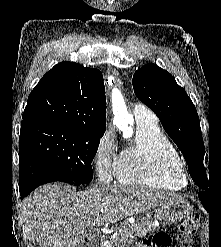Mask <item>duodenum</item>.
Listing matches in <instances>:
<instances>
[{
  "mask_svg": "<svg viewBox=\"0 0 221 247\" xmlns=\"http://www.w3.org/2000/svg\"><path fill=\"white\" fill-rule=\"evenodd\" d=\"M99 241V234L97 232H92L88 235L86 243L91 247H98Z\"/></svg>",
  "mask_w": 221,
  "mask_h": 247,
  "instance_id": "duodenum-1",
  "label": "duodenum"
}]
</instances>
